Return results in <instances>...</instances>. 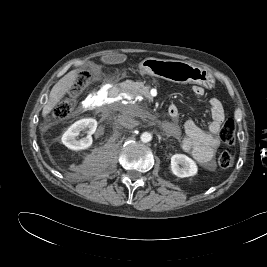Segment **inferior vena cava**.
<instances>
[{"label": "inferior vena cava", "mask_w": 267, "mask_h": 267, "mask_svg": "<svg viewBox=\"0 0 267 267\" xmlns=\"http://www.w3.org/2000/svg\"><path fill=\"white\" fill-rule=\"evenodd\" d=\"M119 124L125 128L132 129L136 127L139 123L133 118V115L129 111L123 112V114L118 119Z\"/></svg>", "instance_id": "602c4592"}]
</instances>
